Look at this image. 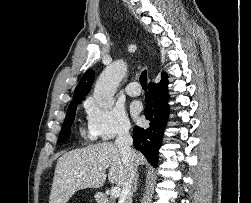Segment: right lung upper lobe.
<instances>
[{
	"instance_id": "obj_1",
	"label": "right lung upper lobe",
	"mask_w": 251,
	"mask_h": 203,
	"mask_svg": "<svg viewBox=\"0 0 251 203\" xmlns=\"http://www.w3.org/2000/svg\"><path fill=\"white\" fill-rule=\"evenodd\" d=\"M93 81L94 72L93 70H88L77 85L74 91L73 101L70 104L81 102L84 96H86L90 91Z\"/></svg>"
}]
</instances>
